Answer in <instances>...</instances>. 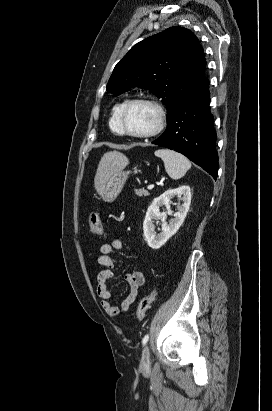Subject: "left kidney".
Returning a JSON list of instances; mask_svg holds the SVG:
<instances>
[{
    "instance_id": "1",
    "label": "left kidney",
    "mask_w": 272,
    "mask_h": 411,
    "mask_svg": "<svg viewBox=\"0 0 272 411\" xmlns=\"http://www.w3.org/2000/svg\"><path fill=\"white\" fill-rule=\"evenodd\" d=\"M181 197L183 204L177 206L178 212L174 213L169 223L166 222L167 214H172L170 203L173 197ZM191 204V191L189 186H180L176 189L165 191L162 195L155 198L149 206L143 222L144 240L152 249H159L170 237H172L183 224ZM166 206V212H160V207ZM162 222V232L157 234L154 221Z\"/></svg>"
}]
</instances>
